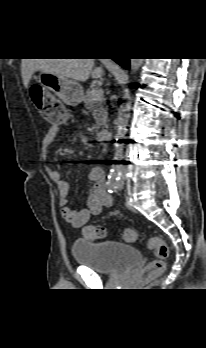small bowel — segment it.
I'll return each instance as SVG.
<instances>
[{"label":"small bowel","instance_id":"c3829d8e","mask_svg":"<svg viewBox=\"0 0 206 348\" xmlns=\"http://www.w3.org/2000/svg\"><path fill=\"white\" fill-rule=\"evenodd\" d=\"M59 128L52 126L48 129L42 139V149L44 159H47L49 148L55 143ZM46 170L51 180L57 185L59 192V202L62 208L63 218L75 227L86 224L92 215L99 214L102 210L112 206V198L107 193L104 171L100 166L90 167L87 180L93 183V187L88 194L86 208L75 211L67 207L70 186L67 181L61 178L60 173L51 165H46Z\"/></svg>","mask_w":206,"mask_h":348}]
</instances>
